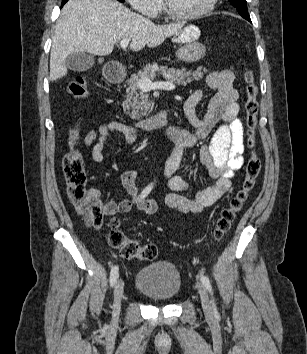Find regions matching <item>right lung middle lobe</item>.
Segmentation results:
<instances>
[{"instance_id": "1", "label": "right lung middle lobe", "mask_w": 307, "mask_h": 354, "mask_svg": "<svg viewBox=\"0 0 307 354\" xmlns=\"http://www.w3.org/2000/svg\"><path fill=\"white\" fill-rule=\"evenodd\" d=\"M118 1H120V2H124V0H118Z\"/></svg>"}]
</instances>
